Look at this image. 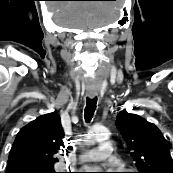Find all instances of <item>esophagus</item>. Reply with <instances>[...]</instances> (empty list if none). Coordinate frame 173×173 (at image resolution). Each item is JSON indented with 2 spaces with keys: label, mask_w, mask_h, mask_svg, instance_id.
I'll list each match as a JSON object with an SVG mask.
<instances>
[{
  "label": "esophagus",
  "mask_w": 173,
  "mask_h": 173,
  "mask_svg": "<svg viewBox=\"0 0 173 173\" xmlns=\"http://www.w3.org/2000/svg\"><path fill=\"white\" fill-rule=\"evenodd\" d=\"M88 95L90 98H94L96 96V92H89Z\"/></svg>",
  "instance_id": "esophagus-1"
}]
</instances>
